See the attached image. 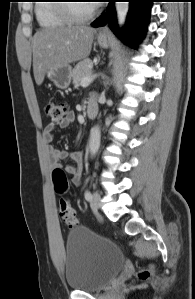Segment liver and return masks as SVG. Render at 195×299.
I'll return each mask as SVG.
<instances>
[{
  "mask_svg": "<svg viewBox=\"0 0 195 299\" xmlns=\"http://www.w3.org/2000/svg\"><path fill=\"white\" fill-rule=\"evenodd\" d=\"M95 30L83 25H68L37 31L32 39L33 72L41 85L50 68L67 66L89 56Z\"/></svg>",
  "mask_w": 195,
  "mask_h": 299,
  "instance_id": "1",
  "label": "liver"
}]
</instances>
